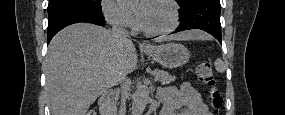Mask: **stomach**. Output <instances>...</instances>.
<instances>
[{"instance_id":"1","label":"stomach","mask_w":285,"mask_h":115,"mask_svg":"<svg viewBox=\"0 0 285 115\" xmlns=\"http://www.w3.org/2000/svg\"><path fill=\"white\" fill-rule=\"evenodd\" d=\"M145 52L161 66L169 69L183 66L190 57L189 51L184 45L174 42L152 46Z\"/></svg>"}]
</instances>
